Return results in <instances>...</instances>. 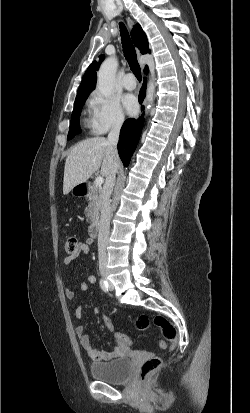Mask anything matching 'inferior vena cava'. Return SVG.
<instances>
[{
	"instance_id": "inferior-vena-cava-1",
	"label": "inferior vena cava",
	"mask_w": 250,
	"mask_h": 413,
	"mask_svg": "<svg viewBox=\"0 0 250 413\" xmlns=\"http://www.w3.org/2000/svg\"><path fill=\"white\" fill-rule=\"evenodd\" d=\"M124 119H117L112 125L111 131L108 134L107 144L109 145L112 155L118 157L117 143L119 140L120 129ZM117 170H112L106 178V183L103 188L102 195V207L101 217L99 222V234H98V256H99V268L105 269L107 267V253L106 246L109 240L110 233V219H111V204L110 197L113 192Z\"/></svg>"
}]
</instances>
